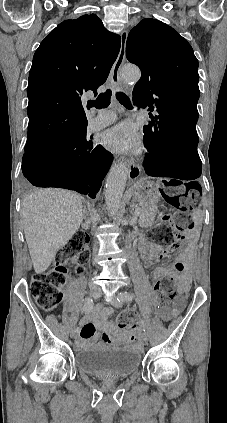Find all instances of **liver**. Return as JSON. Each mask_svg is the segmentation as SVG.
Listing matches in <instances>:
<instances>
[{"mask_svg":"<svg viewBox=\"0 0 227 423\" xmlns=\"http://www.w3.org/2000/svg\"><path fill=\"white\" fill-rule=\"evenodd\" d=\"M79 194L60 188L29 192L22 200L23 227L34 271L43 273L79 229L84 213Z\"/></svg>","mask_w":227,"mask_h":423,"instance_id":"6515ba94","label":"liver"}]
</instances>
